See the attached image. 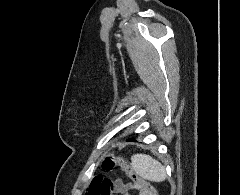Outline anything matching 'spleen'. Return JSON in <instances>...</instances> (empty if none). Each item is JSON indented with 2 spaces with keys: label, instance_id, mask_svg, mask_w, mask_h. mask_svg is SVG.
Here are the masks:
<instances>
[{
  "label": "spleen",
  "instance_id": "spleen-1",
  "mask_svg": "<svg viewBox=\"0 0 240 195\" xmlns=\"http://www.w3.org/2000/svg\"><path fill=\"white\" fill-rule=\"evenodd\" d=\"M131 159L133 169L143 179H149V181H164L166 179L167 175L164 165L160 161H157V159H153L151 155L134 153Z\"/></svg>",
  "mask_w": 240,
  "mask_h": 195
}]
</instances>
